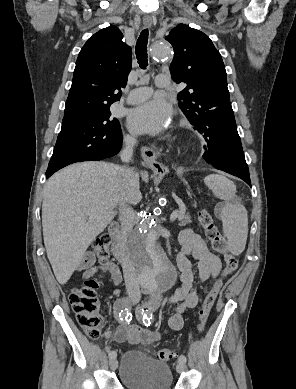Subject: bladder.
Instances as JSON below:
<instances>
[{"label":"bladder","mask_w":296,"mask_h":389,"mask_svg":"<svg viewBox=\"0 0 296 389\" xmlns=\"http://www.w3.org/2000/svg\"><path fill=\"white\" fill-rule=\"evenodd\" d=\"M118 375L127 389H171L173 384L169 365L139 350L122 355Z\"/></svg>","instance_id":"obj_1"}]
</instances>
